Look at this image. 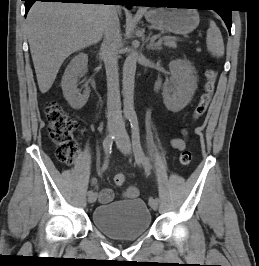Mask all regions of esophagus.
Segmentation results:
<instances>
[{
  "label": "esophagus",
  "mask_w": 259,
  "mask_h": 266,
  "mask_svg": "<svg viewBox=\"0 0 259 266\" xmlns=\"http://www.w3.org/2000/svg\"><path fill=\"white\" fill-rule=\"evenodd\" d=\"M140 9H141V10H144V8H142V7H141Z\"/></svg>",
  "instance_id": "obj_1"
}]
</instances>
